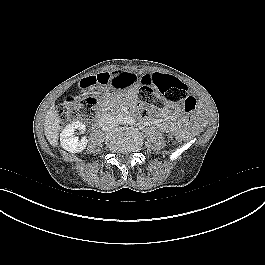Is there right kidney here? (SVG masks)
<instances>
[{"instance_id": "1", "label": "right kidney", "mask_w": 265, "mask_h": 265, "mask_svg": "<svg viewBox=\"0 0 265 265\" xmlns=\"http://www.w3.org/2000/svg\"><path fill=\"white\" fill-rule=\"evenodd\" d=\"M85 128L86 126L79 121L68 124L60 133L61 146L71 153L82 152L86 148L88 140L86 137L79 140L78 137L74 136V132L76 129L84 132Z\"/></svg>"}]
</instances>
